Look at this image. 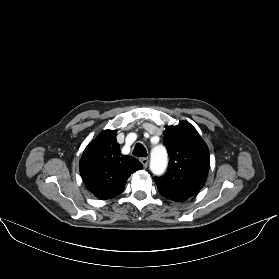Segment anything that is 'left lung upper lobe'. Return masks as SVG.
Wrapping results in <instances>:
<instances>
[{
    "label": "left lung upper lobe",
    "instance_id": "obj_1",
    "mask_svg": "<svg viewBox=\"0 0 279 279\" xmlns=\"http://www.w3.org/2000/svg\"><path fill=\"white\" fill-rule=\"evenodd\" d=\"M163 140L170 159L168 171L154 180L161 195L183 202L197 194L206 182L209 149L196 129L186 121L168 126Z\"/></svg>",
    "mask_w": 279,
    "mask_h": 279
}]
</instances>
